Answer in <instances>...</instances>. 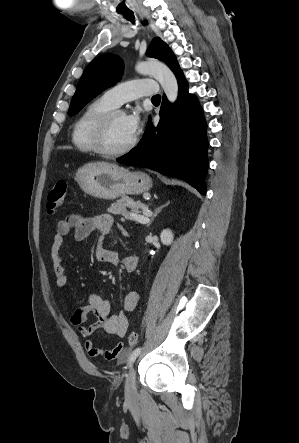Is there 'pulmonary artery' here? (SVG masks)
Returning <instances> with one entry per match:
<instances>
[{"label": "pulmonary artery", "instance_id": "1", "mask_svg": "<svg viewBox=\"0 0 299 443\" xmlns=\"http://www.w3.org/2000/svg\"><path fill=\"white\" fill-rule=\"evenodd\" d=\"M157 84L152 79H136L120 83L108 89L103 97L113 106L137 99L142 96H153L157 94Z\"/></svg>", "mask_w": 299, "mask_h": 443}]
</instances>
